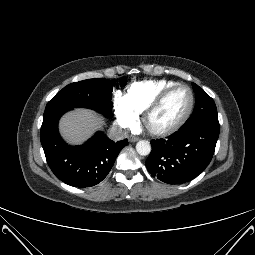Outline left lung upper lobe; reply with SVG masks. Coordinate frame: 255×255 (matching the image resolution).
I'll return each instance as SVG.
<instances>
[{
    "label": "left lung upper lobe",
    "mask_w": 255,
    "mask_h": 255,
    "mask_svg": "<svg viewBox=\"0 0 255 255\" xmlns=\"http://www.w3.org/2000/svg\"><path fill=\"white\" fill-rule=\"evenodd\" d=\"M193 89L196 94V106L190 118L182 126V129L204 126L219 127L217 109L213 99L198 85L193 84Z\"/></svg>",
    "instance_id": "left-lung-upper-lobe-1"
}]
</instances>
